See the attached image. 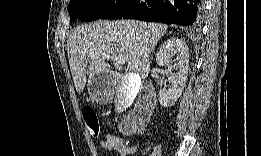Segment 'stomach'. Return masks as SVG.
<instances>
[{
  "label": "stomach",
  "instance_id": "obj_1",
  "mask_svg": "<svg viewBox=\"0 0 261 156\" xmlns=\"http://www.w3.org/2000/svg\"><path fill=\"white\" fill-rule=\"evenodd\" d=\"M99 78H100V79H103V80H107L108 83L111 84V83L109 82V78H108V76H107L106 74H97V75H95V76H93V77H90L89 83H88L89 90H90L91 84H92V83H95Z\"/></svg>",
  "mask_w": 261,
  "mask_h": 156
}]
</instances>
